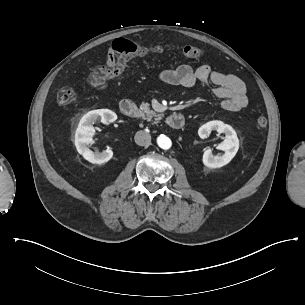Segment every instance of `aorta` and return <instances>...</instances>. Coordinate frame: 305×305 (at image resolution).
Returning <instances> with one entry per match:
<instances>
[{"label":"aorta","instance_id":"1","mask_svg":"<svg viewBox=\"0 0 305 305\" xmlns=\"http://www.w3.org/2000/svg\"><path fill=\"white\" fill-rule=\"evenodd\" d=\"M157 143H158V146L164 150L169 149L172 145L170 138H168L165 135L158 136Z\"/></svg>","mask_w":305,"mask_h":305}]
</instances>
